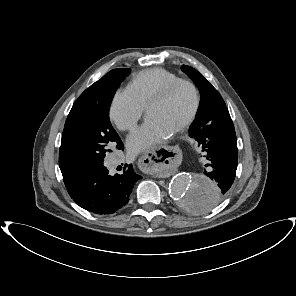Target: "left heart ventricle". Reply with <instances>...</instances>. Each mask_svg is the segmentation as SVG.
Returning <instances> with one entry per match:
<instances>
[{
	"label": "left heart ventricle",
	"instance_id": "b2bd125f",
	"mask_svg": "<svg viewBox=\"0 0 296 296\" xmlns=\"http://www.w3.org/2000/svg\"><path fill=\"white\" fill-rule=\"evenodd\" d=\"M193 103L192 91L188 87H182L167 101L151 107L148 116L155 118L173 132L187 119Z\"/></svg>",
	"mask_w": 296,
	"mask_h": 296
}]
</instances>
